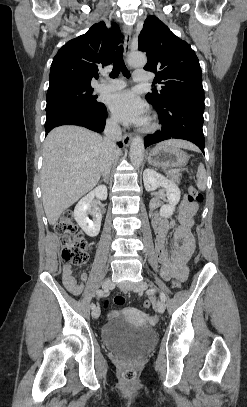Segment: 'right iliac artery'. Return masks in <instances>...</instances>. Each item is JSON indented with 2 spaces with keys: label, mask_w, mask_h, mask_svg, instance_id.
I'll list each match as a JSON object with an SVG mask.
<instances>
[{
  "label": "right iliac artery",
  "mask_w": 247,
  "mask_h": 407,
  "mask_svg": "<svg viewBox=\"0 0 247 407\" xmlns=\"http://www.w3.org/2000/svg\"><path fill=\"white\" fill-rule=\"evenodd\" d=\"M105 292H106L105 290L100 289V290H97V291H96V294L99 295V296H103V295L105 294ZM90 307H91V309L93 310V309L96 308V305H95L94 303H92V304L90 305Z\"/></svg>",
  "instance_id": "82829eb1"
}]
</instances>
